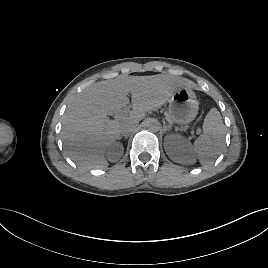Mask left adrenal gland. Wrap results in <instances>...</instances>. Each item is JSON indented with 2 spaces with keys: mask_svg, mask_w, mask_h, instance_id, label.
<instances>
[{
  "mask_svg": "<svg viewBox=\"0 0 268 268\" xmlns=\"http://www.w3.org/2000/svg\"><path fill=\"white\" fill-rule=\"evenodd\" d=\"M167 130H169V128L164 124V126H163V132L166 133Z\"/></svg>",
  "mask_w": 268,
  "mask_h": 268,
  "instance_id": "1",
  "label": "left adrenal gland"
}]
</instances>
